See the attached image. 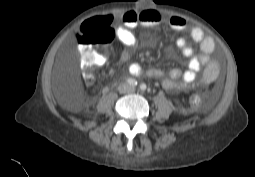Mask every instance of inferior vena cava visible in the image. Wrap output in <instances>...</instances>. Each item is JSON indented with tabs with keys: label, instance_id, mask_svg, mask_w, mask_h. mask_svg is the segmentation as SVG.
<instances>
[{
	"label": "inferior vena cava",
	"instance_id": "602c4592",
	"mask_svg": "<svg viewBox=\"0 0 255 177\" xmlns=\"http://www.w3.org/2000/svg\"><path fill=\"white\" fill-rule=\"evenodd\" d=\"M126 87H127L128 90H131V89H132V88H131L130 86H128V85H127Z\"/></svg>",
	"mask_w": 255,
	"mask_h": 177
}]
</instances>
